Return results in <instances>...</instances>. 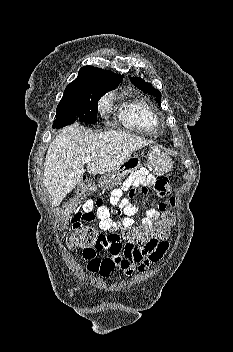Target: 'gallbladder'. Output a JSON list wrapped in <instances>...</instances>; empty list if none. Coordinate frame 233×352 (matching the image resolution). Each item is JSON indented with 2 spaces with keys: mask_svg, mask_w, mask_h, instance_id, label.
I'll list each match as a JSON object with an SVG mask.
<instances>
[{
  "mask_svg": "<svg viewBox=\"0 0 233 352\" xmlns=\"http://www.w3.org/2000/svg\"><path fill=\"white\" fill-rule=\"evenodd\" d=\"M69 201H70V197L66 196V197L64 198V200L62 201L63 207H65V206L69 203Z\"/></svg>",
  "mask_w": 233,
  "mask_h": 352,
  "instance_id": "bac80fb5",
  "label": "gallbladder"
}]
</instances>
